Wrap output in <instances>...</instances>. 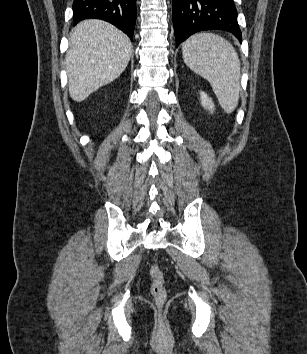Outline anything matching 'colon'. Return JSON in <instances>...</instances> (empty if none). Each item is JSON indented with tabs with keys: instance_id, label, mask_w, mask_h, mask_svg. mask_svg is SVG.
<instances>
[{
	"instance_id": "5ec220e1",
	"label": "colon",
	"mask_w": 307,
	"mask_h": 354,
	"mask_svg": "<svg viewBox=\"0 0 307 354\" xmlns=\"http://www.w3.org/2000/svg\"><path fill=\"white\" fill-rule=\"evenodd\" d=\"M151 294L157 303H163L166 298L165 279L162 270L154 265L150 270Z\"/></svg>"
}]
</instances>
